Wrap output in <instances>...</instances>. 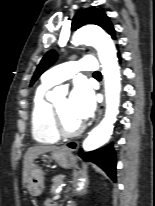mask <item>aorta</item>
I'll use <instances>...</instances> for the list:
<instances>
[{
  "label": "aorta",
  "mask_w": 155,
  "mask_h": 206,
  "mask_svg": "<svg viewBox=\"0 0 155 206\" xmlns=\"http://www.w3.org/2000/svg\"><path fill=\"white\" fill-rule=\"evenodd\" d=\"M75 46L86 44L93 46L102 64V74L105 81L106 111L102 121L89 133L83 142L85 151H92L107 143L112 135L114 123L119 113L121 75L117 62L115 45L110 36L97 27H83L73 35ZM58 88L54 90L57 92ZM84 183L78 184V190Z\"/></svg>",
  "instance_id": "1"
}]
</instances>
